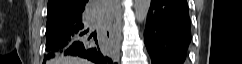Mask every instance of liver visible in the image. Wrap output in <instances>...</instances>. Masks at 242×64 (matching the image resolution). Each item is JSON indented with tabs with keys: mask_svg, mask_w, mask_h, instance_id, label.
I'll use <instances>...</instances> for the list:
<instances>
[{
	"mask_svg": "<svg viewBox=\"0 0 242 64\" xmlns=\"http://www.w3.org/2000/svg\"><path fill=\"white\" fill-rule=\"evenodd\" d=\"M54 64H90V62L77 57H60L54 61Z\"/></svg>",
	"mask_w": 242,
	"mask_h": 64,
	"instance_id": "6515ba94",
	"label": "liver"
}]
</instances>
